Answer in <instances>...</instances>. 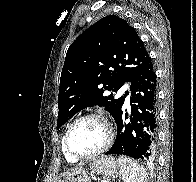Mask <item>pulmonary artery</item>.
I'll list each match as a JSON object with an SVG mask.
<instances>
[{
	"label": "pulmonary artery",
	"instance_id": "1",
	"mask_svg": "<svg viewBox=\"0 0 196 182\" xmlns=\"http://www.w3.org/2000/svg\"><path fill=\"white\" fill-rule=\"evenodd\" d=\"M130 95L127 96L126 98V103H129Z\"/></svg>",
	"mask_w": 196,
	"mask_h": 182
}]
</instances>
